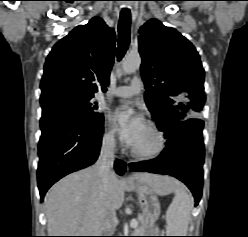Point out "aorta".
<instances>
[{
  "instance_id": "obj_1",
  "label": "aorta",
  "mask_w": 248,
  "mask_h": 237,
  "mask_svg": "<svg viewBox=\"0 0 248 237\" xmlns=\"http://www.w3.org/2000/svg\"><path fill=\"white\" fill-rule=\"evenodd\" d=\"M141 65V57L138 53L136 54H128L122 64L123 71L127 74L134 73L136 70L140 68ZM126 120H120V124H125Z\"/></svg>"
}]
</instances>
